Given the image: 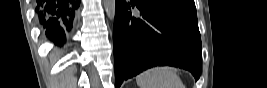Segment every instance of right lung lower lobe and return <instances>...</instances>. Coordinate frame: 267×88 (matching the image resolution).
<instances>
[{
  "label": "right lung lower lobe",
  "mask_w": 267,
  "mask_h": 88,
  "mask_svg": "<svg viewBox=\"0 0 267 88\" xmlns=\"http://www.w3.org/2000/svg\"><path fill=\"white\" fill-rule=\"evenodd\" d=\"M80 0H37L36 13L44 33L62 46L71 30Z\"/></svg>",
  "instance_id": "right-lung-lower-lobe-1"
}]
</instances>
